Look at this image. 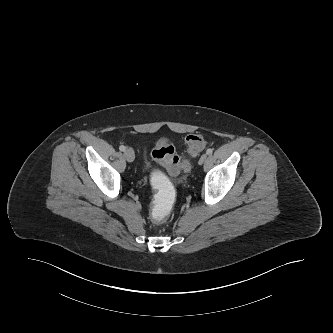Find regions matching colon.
<instances>
[{
  "label": "colon",
  "instance_id": "5ec220e1",
  "mask_svg": "<svg viewBox=\"0 0 333 333\" xmlns=\"http://www.w3.org/2000/svg\"><path fill=\"white\" fill-rule=\"evenodd\" d=\"M189 156L194 157L205 147L204 138L199 134H191L186 138ZM152 157L160 163L170 175L176 176L191 167L189 159L176 154L175 147L167 138L160 139L152 150ZM150 179L154 185L153 210L149 213V220L153 224H161L170 212L175 200L172 179L161 168H154L150 172Z\"/></svg>",
  "mask_w": 333,
  "mask_h": 333
}]
</instances>
